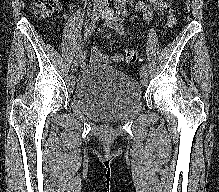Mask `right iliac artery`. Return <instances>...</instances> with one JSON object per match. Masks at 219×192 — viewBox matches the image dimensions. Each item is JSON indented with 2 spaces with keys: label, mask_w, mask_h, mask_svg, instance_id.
Returning <instances> with one entry per match:
<instances>
[{
  "label": "right iliac artery",
  "mask_w": 219,
  "mask_h": 192,
  "mask_svg": "<svg viewBox=\"0 0 219 192\" xmlns=\"http://www.w3.org/2000/svg\"><path fill=\"white\" fill-rule=\"evenodd\" d=\"M95 32V24L92 23L90 24L87 29H86V32L84 34V39H83V42H82V45L86 43L87 39ZM85 57V53L83 52L82 50V47H80L77 51V54H76V58H79V59H84Z\"/></svg>",
  "instance_id": "82829eb1"
}]
</instances>
